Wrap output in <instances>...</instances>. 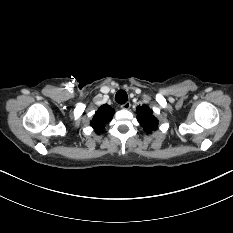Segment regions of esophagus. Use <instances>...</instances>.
Listing matches in <instances>:
<instances>
[{"label":"esophagus","instance_id":"esophagus-1","mask_svg":"<svg viewBox=\"0 0 233 233\" xmlns=\"http://www.w3.org/2000/svg\"><path fill=\"white\" fill-rule=\"evenodd\" d=\"M130 107H131V103L130 102H126V103H124V104L121 105V108L125 109V110L130 109Z\"/></svg>","mask_w":233,"mask_h":233}]
</instances>
